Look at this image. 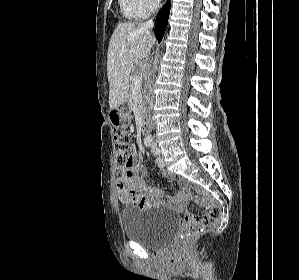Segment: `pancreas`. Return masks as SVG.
Masks as SVG:
<instances>
[{"instance_id": "cf45deb5", "label": "pancreas", "mask_w": 299, "mask_h": 280, "mask_svg": "<svg viewBox=\"0 0 299 280\" xmlns=\"http://www.w3.org/2000/svg\"><path fill=\"white\" fill-rule=\"evenodd\" d=\"M127 102L130 107L134 105L136 102L140 108L142 109V93L141 90H139L137 93H133L132 90L129 91L128 97H127Z\"/></svg>"}]
</instances>
